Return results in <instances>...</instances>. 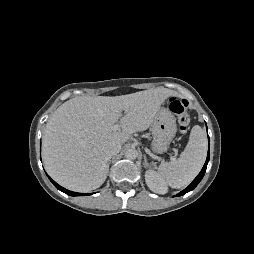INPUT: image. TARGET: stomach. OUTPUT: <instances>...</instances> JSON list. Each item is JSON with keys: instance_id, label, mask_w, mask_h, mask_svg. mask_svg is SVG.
<instances>
[{"instance_id": "stomach-1", "label": "stomach", "mask_w": 254, "mask_h": 254, "mask_svg": "<svg viewBox=\"0 0 254 254\" xmlns=\"http://www.w3.org/2000/svg\"><path fill=\"white\" fill-rule=\"evenodd\" d=\"M177 131L176 120L167 108H161L152 122V149L156 153L167 151Z\"/></svg>"}]
</instances>
